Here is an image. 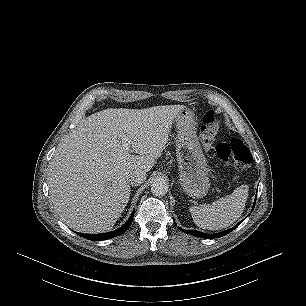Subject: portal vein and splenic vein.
I'll list each match as a JSON object with an SVG mask.
<instances>
[{"label":"portal vein and splenic vein","mask_w":306,"mask_h":306,"mask_svg":"<svg viewBox=\"0 0 306 306\" xmlns=\"http://www.w3.org/2000/svg\"><path fill=\"white\" fill-rule=\"evenodd\" d=\"M122 143L127 149H130V141L125 136L122 138Z\"/></svg>","instance_id":"1"}]
</instances>
